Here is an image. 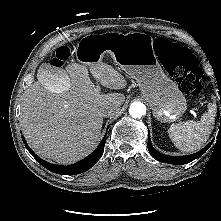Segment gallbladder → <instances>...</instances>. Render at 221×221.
<instances>
[{"instance_id":"1","label":"gallbladder","mask_w":221,"mask_h":221,"mask_svg":"<svg viewBox=\"0 0 221 221\" xmlns=\"http://www.w3.org/2000/svg\"><path fill=\"white\" fill-rule=\"evenodd\" d=\"M38 80L42 86L53 89L58 93L67 91L71 85V80L64 71L48 65L40 67Z\"/></svg>"}]
</instances>
